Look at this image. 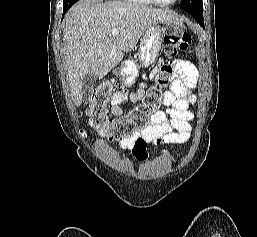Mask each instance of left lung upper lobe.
I'll return each instance as SVG.
<instances>
[{
    "mask_svg": "<svg viewBox=\"0 0 257 237\" xmlns=\"http://www.w3.org/2000/svg\"><path fill=\"white\" fill-rule=\"evenodd\" d=\"M180 8L189 14L203 15L202 0H181Z\"/></svg>",
    "mask_w": 257,
    "mask_h": 237,
    "instance_id": "1",
    "label": "left lung upper lobe"
}]
</instances>
